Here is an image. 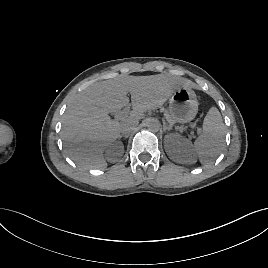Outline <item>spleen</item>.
<instances>
[{
    "instance_id": "obj_1",
    "label": "spleen",
    "mask_w": 268,
    "mask_h": 268,
    "mask_svg": "<svg viewBox=\"0 0 268 268\" xmlns=\"http://www.w3.org/2000/svg\"><path fill=\"white\" fill-rule=\"evenodd\" d=\"M225 138V125L216 107L210 108L203 121V133L195 140L194 148L202 165L213 163L220 154Z\"/></svg>"
}]
</instances>
